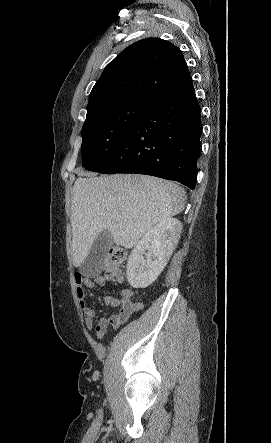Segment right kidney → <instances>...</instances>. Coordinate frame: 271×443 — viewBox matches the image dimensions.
I'll return each instance as SVG.
<instances>
[{"instance_id": "1", "label": "right kidney", "mask_w": 271, "mask_h": 443, "mask_svg": "<svg viewBox=\"0 0 271 443\" xmlns=\"http://www.w3.org/2000/svg\"><path fill=\"white\" fill-rule=\"evenodd\" d=\"M181 229L177 218H166L144 233L130 251L127 263V279L132 287H147L157 279L178 243Z\"/></svg>"}]
</instances>
